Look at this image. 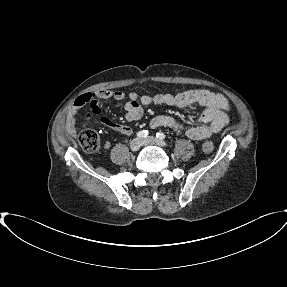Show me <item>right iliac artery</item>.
I'll return each mask as SVG.
<instances>
[{
  "instance_id": "1",
  "label": "right iliac artery",
  "mask_w": 287,
  "mask_h": 287,
  "mask_svg": "<svg viewBox=\"0 0 287 287\" xmlns=\"http://www.w3.org/2000/svg\"><path fill=\"white\" fill-rule=\"evenodd\" d=\"M148 135V131L147 130H141L137 133V137L138 138H145Z\"/></svg>"
}]
</instances>
